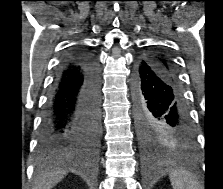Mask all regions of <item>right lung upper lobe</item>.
I'll use <instances>...</instances> for the list:
<instances>
[{
    "label": "right lung upper lobe",
    "mask_w": 223,
    "mask_h": 189,
    "mask_svg": "<svg viewBox=\"0 0 223 189\" xmlns=\"http://www.w3.org/2000/svg\"><path fill=\"white\" fill-rule=\"evenodd\" d=\"M80 51H82V52H84V53H87V54H89L87 51H85V50H83V49H79ZM78 69V67H76V66H74V67H71L70 68V71H74V70H77Z\"/></svg>",
    "instance_id": "1"
}]
</instances>
